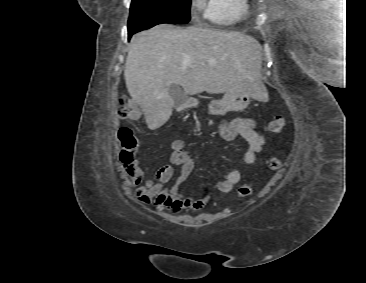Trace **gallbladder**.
Masks as SVG:
<instances>
[{"label": "gallbladder", "mask_w": 366, "mask_h": 283, "mask_svg": "<svg viewBox=\"0 0 366 283\" xmlns=\"http://www.w3.org/2000/svg\"><path fill=\"white\" fill-rule=\"evenodd\" d=\"M170 94L175 102L174 108L181 107L185 100L184 94L182 93L181 89L176 85H171Z\"/></svg>", "instance_id": "1"}]
</instances>
